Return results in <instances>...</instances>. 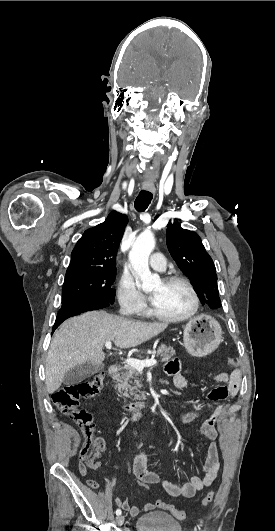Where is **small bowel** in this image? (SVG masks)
Returning a JSON list of instances; mask_svg holds the SVG:
<instances>
[{
	"label": "small bowel",
	"mask_w": 275,
	"mask_h": 531,
	"mask_svg": "<svg viewBox=\"0 0 275 531\" xmlns=\"http://www.w3.org/2000/svg\"><path fill=\"white\" fill-rule=\"evenodd\" d=\"M181 368L182 362L179 358H173L166 364V372L173 376L172 385L176 391H182L189 385L188 379L181 373ZM212 379L215 383L225 385L228 388V396L234 398L239 390L241 372L240 370L219 372L215 374ZM225 407L224 404L219 405L214 413L208 417L201 426V434L211 441L207 447L202 476H192L189 481L182 483L161 480L159 475L150 469L147 454L145 452H140L134 462V475L137 481L143 479L146 483H152L153 485L161 483L164 490L169 495L173 497L183 496L186 498L193 497L196 492L210 486L216 479L220 467L219 448L215 442L218 437L216 424L219 418L224 414ZM200 416L201 412L198 410L177 413V419L182 423L193 421ZM99 444L101 445L102 442H99ZM115 503L120 509L128 511L131 517H136L141 513L151 512L155 507L151 502H146L142 507L137 505L131 506L129 501L123 497L116 498Z\"/></svg>",
	"instance_id": "small-bowel-1"
}]
</instances>
